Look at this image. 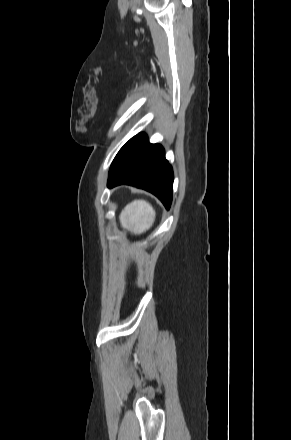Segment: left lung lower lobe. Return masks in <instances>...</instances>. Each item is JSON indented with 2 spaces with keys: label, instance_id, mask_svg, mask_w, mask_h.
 Returning a JSON list of instances; mask_svg holds the SVG:
<instances>
[{
  "label": "left lung lower lobe",
  "instance_id": "1",
  "mask_svg": "<svg viewBox=\"0 0 291 440\" xmlns=\"http://www.w3.org/2000/svg\"><path fill=\"white\" fill-rule=\"evenodd\" d=\"M172 167L165 159L161 145L150 144L140 133L130 139L114 158L107 186L128 184L156 195L166 209L170 208L173 191Z\"/></svg>",
  "mask_w": 291,
  "mask_h": 440
}]
</instances>
